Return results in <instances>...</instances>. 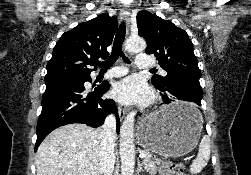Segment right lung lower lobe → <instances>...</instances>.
I'll return each instance as SVG.
<instances>
[{
  "mask_svg": "<svg viewBox=\"0 0 251 175\" xmlns=\"http://www.w3.org/2000/svg\"><path fill=\"white\" fill-rule=\"evenodd\" d=\"M90 80L88 77L81 80L46 81L42 111L37 124L35 152L42 140L54 129L71 123L98 127L113 112L119 133L120 121L115 102L112 99H101L109 89L108 82H103L94 92L86 93L84 82Z\"/></svg>",
  "mask_w": 251,
  "mask_h": 175,
  "instance_id": "98d812e1",
  "label": "right lung lower lobe"
}]
</instances>
